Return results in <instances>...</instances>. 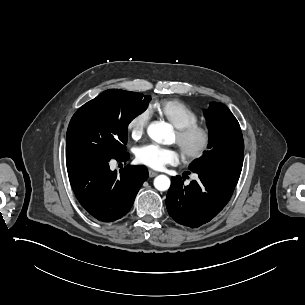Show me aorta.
I'll use <instances>...</instances> for the list:
<instances>
[{
    "instance_id": "1",
    "label": "aorta",
    "mask_w": 305,
    "mask_h": 305,
    "mask_svg": "<svg viewBox=\"0 0 305 305\" xmlns=\"http://www.w3.org/2000/svg\"><path fill=\"white\" fill-rule=\"evenodd\" d=\"M149 137L157 143L164 144L172 135L171 126L165 122H152L147 129ZM170 179L166 175H159L154 179V187L159 191H166L170 187Z\"/></svg>"
}]
</instances>
